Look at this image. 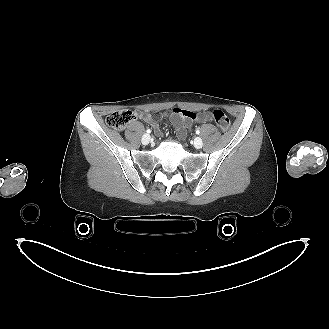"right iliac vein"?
Returning a JSON list of instances; mask_svg holds the SVG:
<instances>
[{
	"label": "right iliac vein",
	"mask_w": 329,
	"mask_h": 329,
	"mask_svg": "<svg viewBox=\"0 0 329 329\" xmlns=\"http://www.w3.org/2000/svg\"><path fill=\"white\" fill-rule=\"evenodd\" d=\"M150 138L149 134H144L141 139L142 144L147 145L150 142Z\"/></svg>",
	"instance_id": "right-iliac-vein-1"
}]
</instances>
